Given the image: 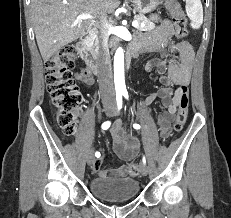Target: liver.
<instances>
[{
	"label": "liver",
	"mask_w": 231,
	"mask_h": 218,
	"mask_svg": "<svg viewBox=\"0 0 231 218\" xmlns=\"http://www.w3.org/2000/svg\"><path fill=\"white\" fill-rule=\"evenodd\" d=\"M119 4V0H31V19L44 62L87 33L93 18L81 19L80 15L101 19Z\"/></svg>",
	"instance_id": "1"
}]
</instances>
